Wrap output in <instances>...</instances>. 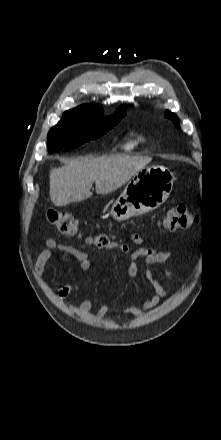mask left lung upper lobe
I'll list each match as a JSON object with an SVG mask.
<instances>
[{
	"instance_id": "left-lung-upper-lobe-1",
	"label": "left lung upper lobe",
	"mask_w": 221,
	"mask_h": 440,
	"mask_svg": "<svg viewBox=\"0 0 221 440\" xmlns=\"http://www.w3.org/2000/svg\"><path fill=\"white\" fill-rule=\"evenodd\" d=\"M165 117H166V118H170V119L173 121V123L175 124L176 127L179 126V120H178V117H177L174 113H172V112L166 110V111H165Z\"/></svg>"
}]
</instances>
